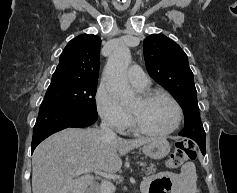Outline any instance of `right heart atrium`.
<instances>
[{"instance_id":"1","label":"right heart atrium","mask_w":237,"mask_h":193,"mask_svg":"<svg viewBox=\"0 0 237 193\" xmlns=\"http://www.w3.org/2000/svg\"><path fill=\"white\" fill-rule=\"evenodd\" d=\"M96 108L103 122L112 129L122 132L129 124V115L123 109L110 90L101 85L95 95Z\"/></svg>"}]
</instances>
